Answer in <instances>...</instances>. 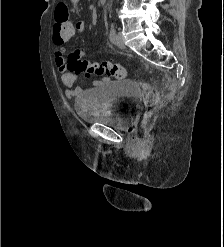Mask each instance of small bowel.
I'll use <instances>...</instances> for the list:
<instances>
[{"label":"small bowel","instance_id":"obj_1","mask_svg":"<svg viewBox=\"0 0 224 247\" xmlns=\"http://www.w3.org/2000/svg\"><path fill=\"white\" fill-rule=\"evenodd\" d=\"M76 1V0H73ZM85 20H79L74 23V32L75 35L84 31L86 27ZM69 39H60L57 36L53 35V43L57 47L55 51V65L61 77V84L66 88V96L69 99H72L78 96L81 92L80 88H74V84L77 81V74L68 70V61L66 57L65 45L69 42ZM108 78H102L101 81H96V84L107 82Z\"/></svg>","mask_w":224,"mask_h":247}]
</instances>
